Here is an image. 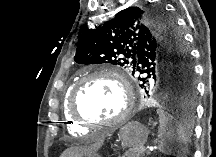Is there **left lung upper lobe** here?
Masks as SVG:
<instances>
[{
	"instance_id": "1",
	"label": "left lung upper lobe",
	"mask_w": 216,
	"mask_h": 157,
	"mask_svg": "<svg viewBox=\"0 0 216 157\" xmlns=\"http://www.w3.org/2000/svg\"><path fill=\"white\" fill-rule=\"evenodd\" d=\"M74 60L80 64H113L132 69L138 80L193 106L194 70L174 20L157 6H131L83 35ZM143 75L145 77H143Z\"/></svg>"
}]
</instances>
